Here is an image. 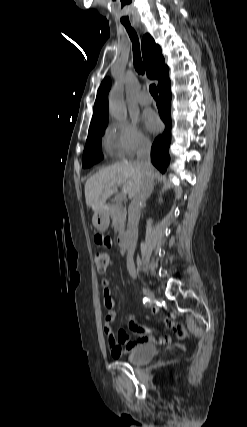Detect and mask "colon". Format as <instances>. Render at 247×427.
Masks as SVG:
<instances>
[{
  "label": "colon",
  "instance_id": "1",
  "mask_svg": "<svg viewBox=\"0 0 247 427\" xmlns=\"http://www.w3.org/2000/svg\"><path fill=\"white\" fill-rule=\"evenodd\" d=\"M93 260L96 269L101 273L105 272L110 265V257L106 252H96Z\"/></svg>",
  "mask_w": 247,
  "mask_h": 427
}]
</instances>
